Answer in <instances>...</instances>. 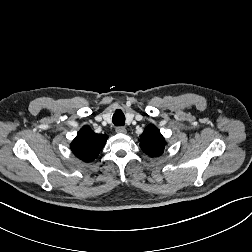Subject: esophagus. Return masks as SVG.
Here are the masks:
<instances>
[{"label":"esophagus","instance_id":"obj_1","mask_svg":"<svg viewBox=\"0 0 252 252\" xmlns=\"http://www.w3.org/2000/svg\"><path fill=\"white\" fill-rule=\"evenodd\" d=\"M116 132H117V133H126L127 130H126V128L123 127V126H118V127H116Z\"/></svg>","mask_w":252,"mask_h":252}]
</instances>
